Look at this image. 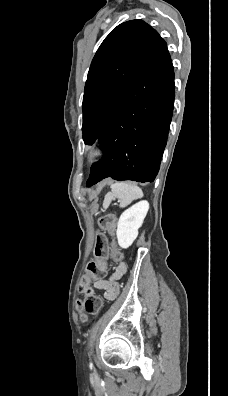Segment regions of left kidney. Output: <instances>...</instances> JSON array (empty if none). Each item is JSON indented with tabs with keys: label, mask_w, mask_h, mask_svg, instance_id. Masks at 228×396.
<instances>
[{
	"label": "left kidney",
	"mask_w": 228,
	"mask_h": 396,
	"mask_svg": "<svg viewBox=\"0 0 228 396\" xmlns=\"http://www.w3.org/2000/svg\"><path fill=\"white\" fill-rule=\"evenodd\" d=\"M148 210L149 203L144 200L134 204L121 214L116 231L120 247L127 249L132 245L138 236V229L142 226Z\"/></svg>",
	"instance_id": "1"
}]
</instances>
